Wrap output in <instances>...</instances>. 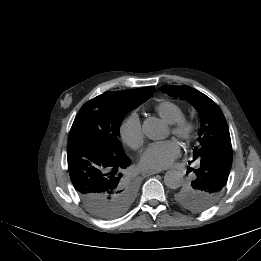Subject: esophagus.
Segmentation results:
<instances>
[{
  "mask_svg": "<svg viewBox=\"0 0 261 261\" xmlns=\"http://www.w3.org/2000/svg\"><path fill=\"white\" fill-rule=\"evenodd\" d=\"M157 173H160V170L144 171V172H142V175H143L144 177H148V176H151V175H154V174H157Z\"/></svg>",
  "mask_w": 261,
  "mask_h": 261,
  "instance_id": "obj_1",
  "label": "esophagus"
}]
</instances>
